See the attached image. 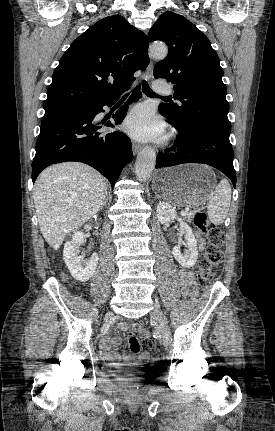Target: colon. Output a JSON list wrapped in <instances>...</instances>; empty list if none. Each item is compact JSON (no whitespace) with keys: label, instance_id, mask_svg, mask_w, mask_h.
I'll use <instances>...</instances> for the list:
<instances>
[{"label":"colon","instance_id":"colon-1","mask_svg":"<svg viewBox=\"0 0 275 431\" xmlns=\"http://www.w3.org/2000/svg\"><path fill=\"white\" fill-rule=\"evenodd\" d=\"M194 224L208 239V245L204 256L199 261L197 272L198 283L201 286H206L213 280L216 267L223 259L224 233L218 226L209 222L204 212H198L195 215ZM128 345L130 351L139 354L142 359L149 357L154 346L151 340H145L143 343H140L132 332L128 334Z\"/></svg>","mask_w":275,"mask_h":431}]
</instances>
